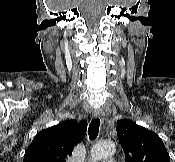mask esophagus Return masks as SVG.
<instances>
[{
	"instance_id": "34e87169",
	"label": "esophagus",
	"mask_w": 175,
	"mask_h": 162,
	"mask_svg": "<svg viewBox=\"0 0 175 162\" xmlns=\"http://www.w3.org/2000/svg\"><path fill=\"white\" fill-rule=\"evenodd\" d=\"M94 117L99 118L103 122L104 121V112L101 109H98L94 112Z\"/></svg>"
}]
</instances>
